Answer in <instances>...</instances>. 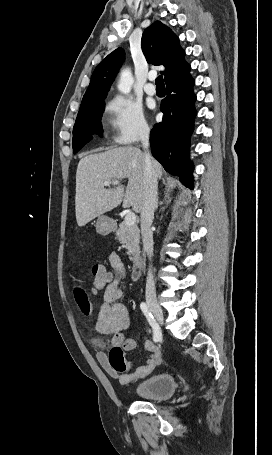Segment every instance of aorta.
<instances>
[{
  "instance_id": "aorta-1",
  "label": "aorta",
  "mask_w": 272,
  "mask_h": 455,
  "mask_svg": "<svg viewBox=\"0 0 272 455\" xmlns=\"http://www.w3.org/2000/svg\"><path fill=\"white\" fill-rule=\"evenodd\" d=\"M134 79L130 69H123L120 73V79L118 83V90L123 94H128L131 91Z\"/></svg>"
}]
</instances>
